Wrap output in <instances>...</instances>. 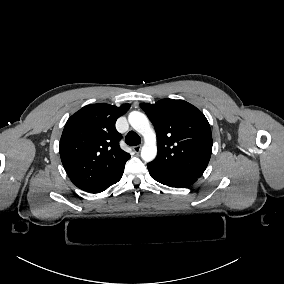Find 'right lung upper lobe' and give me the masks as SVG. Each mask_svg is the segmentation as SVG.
<instances>
[{
  "label": "right lung upper lobe",
  "instance_id": "right-lung-upper-lobe-1",
  "mask_svg": "<svg viewBox=\"0 0 284 284\" xmlns=\"http://www.w3.org/2000/svg\"><path fill=\"white\" fill-rule=\"evenodd\" d=\"M129 108L130 104H91L68 119L59 152L69 178L78 188L92 193L124 168L130 155L119 147L121 134L115 122Z\"/></svg>",
  "mask_w": 284,
  "mask_h": 284
}]
</instances>
